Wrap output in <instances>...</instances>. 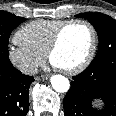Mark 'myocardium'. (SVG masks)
Segmentation results:
<instances>
[{
    "mask_svg": "<svg viewBox=\"0 0 116 116\" xmlns=\"http://www.w3.org/2000/svg\"><path fill=\"white\" fill-rule=\"evenodd\" d=\"M75 24H82L89 29V31L91 33V45H90L88 54L86 55L85 59L80 64H78L77 66H75L73 68H69V69H60L59 68L66 75L78 74V73L82 72L83 70H85L91 64L92 60L94 59L96 50H97V46H98V36H97L96 29L89 21L83 20V19L68 20V21H65L62 25H60L57 28V30L55 31V33L49 43V46L45 52V56L48 61L51 62V56L57 49L64 31L69 26L75 25Z\"/></svg>",
    "mask_w": 116,
    "mask_h": 116,
    "instance_id": "1",
    "label": "myocardium"
}]
</instances>
